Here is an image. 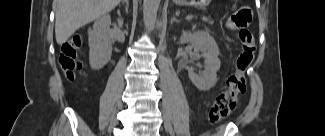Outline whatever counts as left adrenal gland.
Here are the masks:
<instances>
[{
    "instance_id": "1",
    "label": "left adrenal gland",
    "mask_w": 325,
    "mask_h": 136,
    "mask_svg": "<svg viewBox=\"0 0 325 136\" xmlns=\"http://www.w3.org/2000/svg\"><path fill=\"white\" fill-rule=\"evenodd\" d=\"M177 16H178V15H177ZM173 22H177V23L179 22V20L177 19V17H173V18H172L171 23H173Z\"/></svg>"
}]
</instances>
